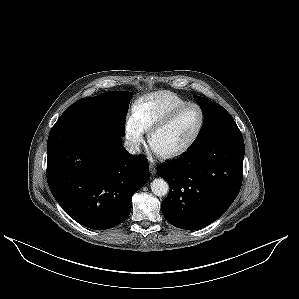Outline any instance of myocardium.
Listing matches in <instances>:
<instances>
[{
	"label": "myocardium",
	"mask_w": 299,
	"mask_h": 299,
	"mask_svg": "<svg viewBox=\"0 0 299 299\" xmlns=\"http://www.w3.org/2000/svg\"><path fill=\"white\" fill-rule=\"evenodd\" d=\"M190 107H196L200 111L201 118H200V123H199L197 130L195 131L192 138L183 147H181L173 152H169L166 154H160L162 158H164V159L178 158V157L186 154L196 144V142L198 141V139L203 131L204 125H205V121H206L205 110L198 103L189 102V103L182 105V106L176 108L175 110H173L170 114H168L166 117H164L159 122L155 123L149 129L148 142L151 145L152 139L158 131L169 126L182 112H184L186 109H188Z\"/></svg>",
	"instance_id": "obj_1"
}]
</instances>
